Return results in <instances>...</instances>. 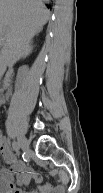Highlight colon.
<instances>
[{
  "label": "colon",
  "instance_id": "colon-1",
  "mask_svg": "<svg viewBox=\"0 0 103 193\" xmlns=\"http://www.w3.org/2000/svg\"><path fill=\"white\" fill-rule=\"evenodd\" d=\"M14 193H20L18 190H16Z\"/></svg>",
  "mask_w": 103,
  "mask_h": 193
}]
</instances>
